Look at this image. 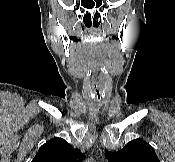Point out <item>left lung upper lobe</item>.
Returning <instances> with one entry per match:
<instances>
[{
    "instance_id": "obj_1",
    "label": "left lung upper lobe",
    "mask_w": 175,
    "mask_h": 162,
    "mask_svg": "<svg viewBox=\"0 0 175 162\" xmlns=\"http://www.w3.org/2000/svg\"><path fill=\"white\" fill-rule=\"evenodd\" d=\"M105 154L110 162H160L154 148L142 139L130 141L121 151Z\"/></svg>"
}]
</instances>
